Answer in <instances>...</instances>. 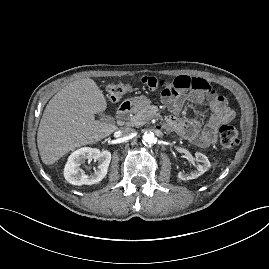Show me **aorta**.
<instances>
[{
	"instance_id": "762f6f07",
	"label": "aorta",
	"mask_w": 269,
	"mask_h": 269,
	"mask_svg": "<svg viewBox=\"0 0 269 269\" xmlns=\"http://www.w3.org/2000/svg\"><path fill=\"white\" fill-rule=\"evenodd\" d=\"M155 141V135L153 132H145L143 135V143L152 144Z\"/></svg>"
}]
</instances>
